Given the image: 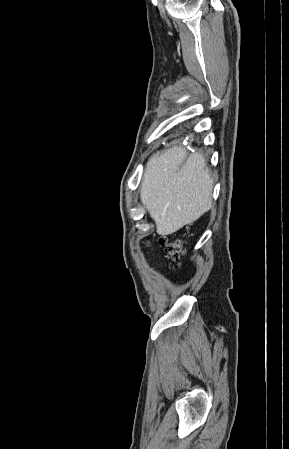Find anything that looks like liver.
I'll return each mask as SVG.
<instances>
[{
    "label": "liver",
    "instance_id": "6515ba94",
    "mask_svg": "<svg viewBox=\"0 0 289 449\" xmlns=\"http://www.w3.org/2000/svg\"><path fill=\"white\" fill-rule=\"evenodd\" d=\"M213 180L200 153L183 147L155 153L148 161L140 197L161 236L198 220L212 207Z\"/></svg>",
    "mask_w": 289,
    "mask_h": 449
}]
</instances>
